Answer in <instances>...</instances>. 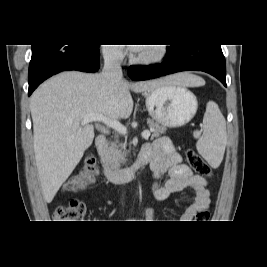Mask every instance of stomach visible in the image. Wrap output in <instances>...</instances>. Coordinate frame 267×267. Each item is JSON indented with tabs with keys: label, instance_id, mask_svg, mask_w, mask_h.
I'll return each instance as SVG.
<instances>
[{
	"label": "stomach",
	"instance_id": "0dacf381",
	"mask_svg": "<svg viewBox=\"0 0 267 267\" xmlns=\"http://www.w3.org/2000/svg\"><path fill=\"white\" fill-rule=\"evenodd\" d=\"M146 107L149 115L159 124L180 127L196 114V96L181 85H162L146 93Z\"/></svg>",
	"mask_w": 267,
	"mask_h": 267
}]
</instances>
